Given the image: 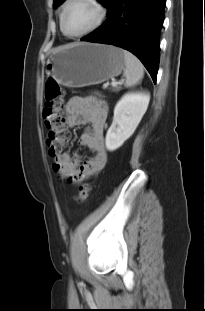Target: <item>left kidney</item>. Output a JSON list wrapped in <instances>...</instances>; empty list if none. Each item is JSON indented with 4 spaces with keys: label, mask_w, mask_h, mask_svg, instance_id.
<instances>
[{
    "label": "left kidney",
    "mask_w": 205,
    "mask_h": 311,
    "mask_svg": "<svg viewBox=\"0 0 205 311\" xmlns=\"http://www.w3.org/2000/svg\"><path fill=\"white\" fill-rule=\"evenodd\" d=\"M149 101L150 94L144 92H130L122 96L115 106L113 122L106 134L107 150L118 149L132 136L147 110Z\"/></svg>",
    "instance_id": "5707ae66"
}]
</instances>
